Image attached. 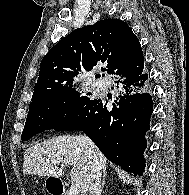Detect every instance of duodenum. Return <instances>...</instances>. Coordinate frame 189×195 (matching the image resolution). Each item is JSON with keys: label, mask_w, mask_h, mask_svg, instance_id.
<instances>
[{"label": "duodenum", "mask_w": 189, "mask_h": 195, "mask_svg": "<svg viewBox=\"0 0 189 195\" xmlns=\"http://www.w3.org/2000/svg\"><path fill=\"white\" fill-rule=\"evenodd\" d=\"M51 195H65V189L59 180L53 181L50 187Z\"/></svg>", "instance_id": "obj_1"}]
</instances>
